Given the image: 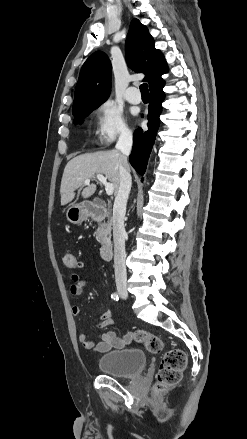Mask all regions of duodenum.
<instances>
[{"label":"duodenum","instance_id":"obj_1","mask_svg":"<svg viewBox=\"0 0 247 439\" xmlns=\"http://www.w3.org/2000/svg\"><path fill=\"white\" fill-rule=\"evenodd\" d=\"M87 213L94 220H101L106 215V208L97 203H91L86 206ZM100 255L104 260H109L113 255V244L110 241H106L100 248Z\"/></svg>","mask_w":247,"mask_h":439}]
</instances>
